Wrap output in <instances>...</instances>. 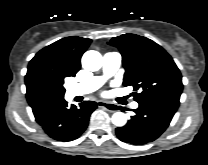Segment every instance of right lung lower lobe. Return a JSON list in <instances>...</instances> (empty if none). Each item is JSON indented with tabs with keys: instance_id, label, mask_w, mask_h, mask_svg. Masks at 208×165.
<instances>
[{
	"instance_id": "obj_1",
	"label": "right lung lower lobe",
	"mask_w": 208,
	"mask_h": 165,
	"mask_svg": "<svg viewBox=\"0 0 208 165\" xmlns=\"http://www.w3.org/2000/svg\"><path fill=\"white\" fill-rule=\"evenodd\" d=\"M97 108V103L85 101L79 106H69L67 101L47 105L35 114L36 121L44 131L58 141L77 139L87 128L91 113Z\"/></svg>"
}]
</instances>
